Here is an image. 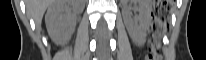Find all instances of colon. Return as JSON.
Returning a JSON list of instances; mask_svg holds the SVG:
<instances>
[{"label":"colon","instance_id":"1","mask_svg":"<svg viewBox=\"0 0 206 60\" xmlns=\"http://www.w3.org/2000/svg\"><path fill=\"white\" fill-rule=\"evenodd\" d=\"M171 8L170 0H157L152 10V24L150 26L151 47L156 53L159 39L167 27L168 13Z\"/></svg>","mask_w":206,"mask_h":60}]
</instances>
